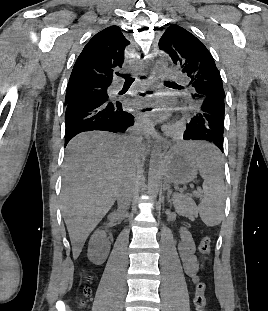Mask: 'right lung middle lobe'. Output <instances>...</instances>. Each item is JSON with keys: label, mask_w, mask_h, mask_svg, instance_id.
Here are the masks:
<instances>
[{"label": "right lung middle lobe", "mask_w": 268, "mask_h": 311, "mask_svg": "<svg viewBox=\"0 0 268 311\" xmlns=\"http://www.w3.org/2000/svg\"><path fill=\"white\" fill-rule=\"evenodd\" d=\"M107 88L108 87L89 84L74 85L67 88L65 104H67L71 99L99 100L108 102Z\"/></svg>", "instance_id": "1"}]
</instances>
